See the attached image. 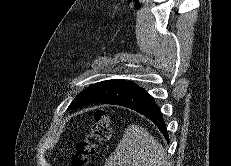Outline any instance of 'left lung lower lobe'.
Masks as SVG:
<instances>
[{
	"mask_svg": "<svg viewBox=\"0 0 231 166\" xmlns=\"http://www.w3.org/2000/svg\"><path fill=\"white\" fill-rule=\"evenodd\" d=\"M92 103L120 105L135 110L150 119L169 140L160 108L150 94L134 82L127 81Z\"/></svg>",
	"mask_w": 231,
	"mask_h": 166,
	"instance_id": "left-lung-lower-lobe-1",
	"label": "left lung lower lobe"
}]
</instances>
